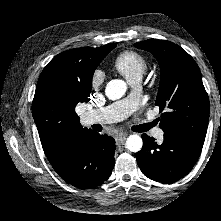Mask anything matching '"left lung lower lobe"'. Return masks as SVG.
<instances>
[{
    "mask_svg": "<svg viewBox=\"0 0 221 221\" xmlns=\"http://www.w3.org/2000/svg\"><path fill=\"white\" fill-rule=\"evenodd\" d=\"M142 138L143 148L136 153L137 163L145 176L162 183L184 177L195 165L203 147V144L168 132H164L160 144L146 134Z\"/></svg>",
    "mask_w": 221,
    "mask_h": 221,
    "instance_id": "obj_1",
    "label": "left lung lower lobe"
}]
</instances>
